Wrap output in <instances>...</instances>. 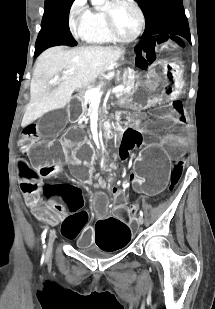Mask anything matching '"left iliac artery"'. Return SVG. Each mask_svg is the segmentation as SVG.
I'll return each instance as SVG.
<instances>
[{"label": "left iliac artery", "instance_id": "1", "mask_svg": "<svg viewBox=\"0 0 215 309\" xmlns=\"http://www.w3.org/2000/svg\"><path fill=\"white\" fill-rule=\"evenodd\" d=\"M140 216H142V217H143V212H142V211H140Z\"/></svg>", "mask_w": 215, "mask_h": 309}]
</instances>
